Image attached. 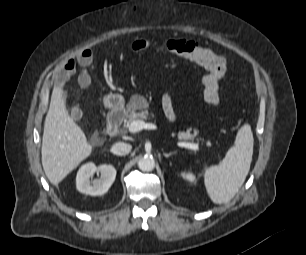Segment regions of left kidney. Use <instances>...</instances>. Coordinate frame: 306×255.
Returning a JSON list of instances; mask_svg holds the SVG:
<instances>
[{
  "label": "left kidney",
  "instance_id": "5707ae66",
  "mask_svg": "<svg viewBox=\"0 0 306 255\" xmlns=\"http://www.w3.org/2000/svg\"><path fill=\"white\" fill-rule=\"evenodd\" d=\"M181 176L187 181H190V182L196 181V176L191 172H181Z\"/></svg>",
  "mask_w": 306,
  "mask_h": 255
}]
</instances>
